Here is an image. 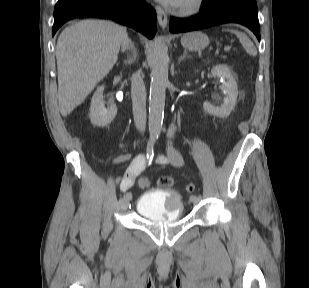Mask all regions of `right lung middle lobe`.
I'll return each mask as SVG.
<instances>
[{
    "mask_svg": "<svg viewBox=\"0 0 309 288\" xmlns=\"http://www.w3.org/2000/svg\"><path fill=\"white\" fill-rule=\"evenodd\" d=\"M71 0H58L57 4H56V8L62 7L64 5H66L67 3H69Z\"/></svg>",
    "mask_w": 309,
    "mask_h": 288,
    "instance_id": "right-lung-middle-lobe-1",
    "label": "right lung middle lobe"
}]
</instances>
